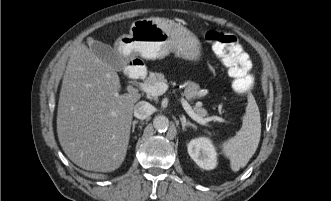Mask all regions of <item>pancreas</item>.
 I'll list each match as a JSON object with an SVG mask.
<instances>
[{
    "label": "pancreas",
    "mask_w": 331,
    "mask_h": 201,
    "mask_svg": "<svg viewBox=\"0 0 331 201\" xmlns=\"http://www.w3.org/2000/svg\"><path fill=\"white\" fill-rule=\"evenodd\" d=\"M157 82H167V79L165 78V76L162 73H153L151 72L149 74V77H147L145 79V84L147 85H154ZM185 90H184V95L186 96L187 99L189 100H193L196 98H199L203 95H205V92H202L200 89V86L192 81H187L185 82ZM194 111L196 112V114H198L201 117H207L208 116V112L206 109L202 108L200 105L195 106Z\"/></svg>",
    "instance_id": "obj_1"
}]
</instances>
